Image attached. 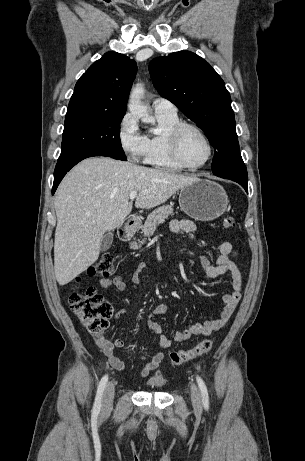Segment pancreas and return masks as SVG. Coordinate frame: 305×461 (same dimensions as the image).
Here are the masks:
<instances>
[{"label": "pancreas", "instance_id": "pancreas-1", "mask_svg": "<svg viewBox=\"0 0 305 461\" xmlns=\"http://www.w3.org/2000/svg\"><path fill=\"white\" fill-rule=\"evenodd\" d=\"M174 209L171 205H163L157 209H155L151 214L148 215L144 225L142 226V233L144 237H150L156 230V227L159 224H162L165 219H167L170 215H174ZM146 239L144 238L142 241L137 243L133 241L130 243L132 249L136 250L144 244Z\"/></svg>", "mask_w": 305, "mask_h": 461}]
</instances>
